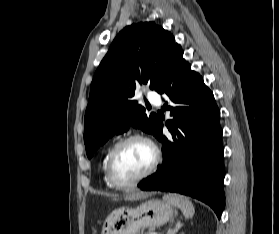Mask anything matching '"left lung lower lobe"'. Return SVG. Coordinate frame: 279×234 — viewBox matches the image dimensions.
<instances>
[{"instance_id": "1", "label": "left lung lower lobe", "mask_w": 279, "mask_h": 234, "mask_svg": "<svg viewBox=\"0 0 279 234\" xmlns=\"http://www.w3.org/2000/svg\"><path fill=\"white\" fill-rule=\"evenodd\" d=\"M156 91L166 94V123L172 138L162 135L159 121L155 137L162 141L161 167L139 183L145 191H170L210 205L218 218L224 207V163L220 111L203 78L191 70L180 49Z\"/></svg>"}]
</instances>
